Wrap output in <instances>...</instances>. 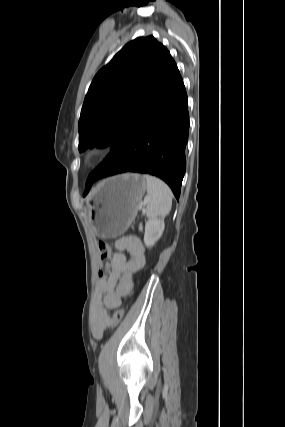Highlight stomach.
I'll use <instances>...</instances> for the list:
<instances>
[{
    "label": "stomach",
    "instance_id": "stomach-1",
    "mask_svg": "<svg viewBox=\"0 0 285 427\" xmlns=\"http://www.w3.org/2000/svg\"><path fill=\"white\" fill-rule=\"evenodd\" d=\"M147 185L139 174H123L100 182L87 204L89 221L95 234L114 238L134 221Z\"/></svg>",
    "mask_w": 285,
    "mask_h": 427
}]
</instances>
